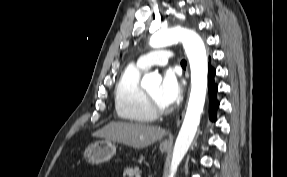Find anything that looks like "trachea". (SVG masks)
<instances>
[{
    "label": "trachea",
    "mask_w": 287,
    "mask_h": 177,
    "mask_svg": "<svg viewBox=\"0 0 287 177\" xmlns=\"http://www.w3.org/2000/svg\"><path fill=\"white\" fill-rule=\"evenodd\" d=\"M186 64H187V63H186L185 60H182V61H181V65H182V66H186Z\"/></svg>",
    "instance_id": "trachea-1"
}]
</instances>
